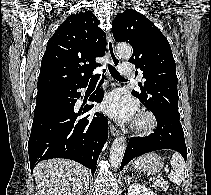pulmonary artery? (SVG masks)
Masks as SVG:
<instances>
[{
	"label": "pulmonary artery",
	"mask_w": 211,
	"mask_h": 195,
	"mask_svg": "<svg viewBox=\"0 0 211 195\" xmlns=\"http://www.w3.org/2000/svg\"><path fill=\"white\" fill-rule=\"evenodd\" d=\"M120 73L126 76H130L132 74L133 68L131 63H123L119 67Z\"/></svg>",
	"instance_id": "e3ab8cb5"
}]
</instances>
